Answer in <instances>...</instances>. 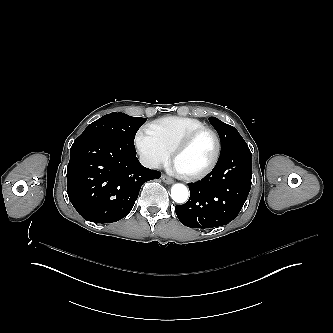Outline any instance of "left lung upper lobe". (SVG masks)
Here are the masks:
<instances>
[{"instance_id": "5c2ea615", "label": "left lung upper lobe", "mask_w": 333, "mask_h": 333, "mask_svg": "<svg viewBox=\"0 0 333 333\" xmlns=\"http://www.w3.org/2000/svg\"><path fill=\"white\" fill-rule=\"evenodd\" d=\"M209 121L220 136L221 153L219 158L227 155L236 148L247 146L244 139L233 126L225 124L215 117H210Z\"/></svg>"}]
</instances>
